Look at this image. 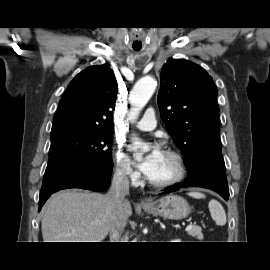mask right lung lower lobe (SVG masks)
Instances as JSON below:
<instances>
[{"mask_svg": "<svg viewBox=\"0 0 270 270\" xmlns=\"http://www.w3.org/2000/svg\"><path fill=\"white\" fill-rule=\"evenodd\" d=\"M112 169L91 167L85 158L73 159L46 169L39 197V211L54 193L67 188H82L92 191L107 189Z\"/></svg>", "mask_w": 270, "mask_h": 270, "instance_id": "obj_1", "label": "right lung lower lobe"}]
</instances>
